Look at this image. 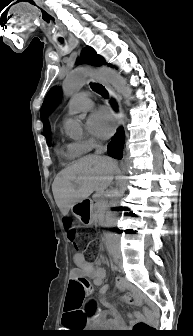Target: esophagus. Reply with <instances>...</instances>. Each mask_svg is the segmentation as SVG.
<instances>
[{
  "instance_id": "1",
  "label": "esophagus",
  "mask_w": 193,
  "mask_h": 336,
  "mask_svg": "<svg viewBox=\"0 0 193 336\" xmlns=\"http://www.w3.org/2000/svg\"><path fill=\"white\" fill-rule=\"evenodd\" d=\"M78 43H79L78 40H76V44ZM93 79L99 82L100 84H102L105 87V89L108 91L109 95L113 99L116 100L117 105H118V110L115 113V118H116L117 127H120L121 125H123V122H124V114H123L120 98L116 94L115 90L109 84H107L106 82L98 78H93Z\"/></svg>"
}]
</instances>
